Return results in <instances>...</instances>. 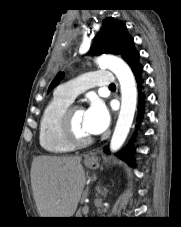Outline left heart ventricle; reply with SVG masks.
<instances>
[{"label":"left heart ventricle","mask_w":181,"mask_h":227,"mask_svg":"<svg viewBox=\"0 0 181 227\" xmlns=\"http://www.w3.org/2000/svg\"><path fill=\"white\" fill-rule=\"evenodd\" d=\"M85 112L84 110H76L73 114V124L75 131L80 136H91L89 131L85 127V121H84Z\"/></svg>","instance_id":"left-heart-ventricle-1"}]
</instances>
